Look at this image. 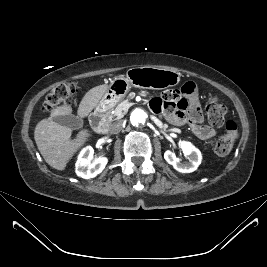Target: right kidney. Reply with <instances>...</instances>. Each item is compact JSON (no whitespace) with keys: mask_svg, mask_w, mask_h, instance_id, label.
<instances>
[{"mask_svg":"<svg viewBox=\"0 0 267 267\" xmlns=\"http://www.w3.org/2000/svg\"><path fill=\"white\" fill-rule=\"evenodd\" d=\"M92 160L93 148L91 146L83 148L78 155V159L75 164V172L79 177L84 179L96 177L104 170L108 162V159L106 157H99L94 161Z\"/></svg>","mask_w":267,"mask_h":267,"instance_id":"1","label":"right kidney"}]
</instances>
